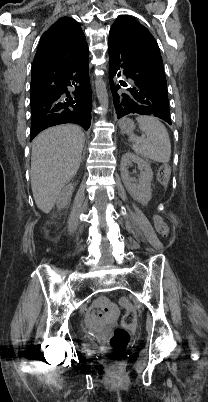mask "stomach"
Instances as JSON below:
<instances>
[{
    "label": "stomach",
    "instance_id": "0dacf381",
    "mask_svg": "<svg viewBox=\"0 0 208 402\" xmlns=\"http://www.w3.org/2000/svg\"><path fill=\"white\" fill-rule=\"evenodd\" d=\"M119 128L122 134H132L133 130H135L134 122L129 120V118H123L119 122Z\"/></svg>",
    "mask_w": 208,
    "mask_h": 402
}]
</instances>
